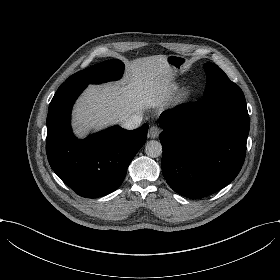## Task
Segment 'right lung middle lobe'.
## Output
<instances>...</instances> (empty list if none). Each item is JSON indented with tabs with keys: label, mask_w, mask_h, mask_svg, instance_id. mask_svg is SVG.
I'll use <instances>...</instances> for the list:
<instances>
[{
	"label": "right lung middle lobe",
	"mask_w": 280,
	"mask_h": 280,
	"mask_svg": "<svg viewBox=\"0 0 280 280\" xmlns=\"http://www.w3.org/2000/svg\"><path fill=\"white\" fill-rule=\"evenodd\" d=\"M124 71V64L118 59L108 60L79 71L65 83L100 84L118 80Z\"/></svg>",
	"instance_id": "dd1d6c3e"
}]
</instances>
